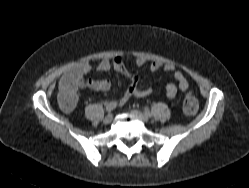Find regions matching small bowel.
Listing matches in <instances>:
<instances>
[{
    "label": "small bowel",
    "mask_w": 249,
    "mask_h": 188,
    "mask_svg": "<svg viewBox=\"0 0 249 188\" xmlns=\"http://www.w3.org/2000/svg\"><path fill=\"white\" fill-rule=\"evenodd\" d=\"M135 64L137 66H142L145 64V59L137 57L135 59ZM90 69L91 66L88 62H80L68 69L62 75L59 81L60 93L71 92L75 98V106L77 104V93L80 90L90 88L95 91L105 92L111 87V82L108 79L93 80L90 78H85V75L90 71ZM97 69L101 72H106L113 69L128 79L129 86L119 100V105L121 106L126 104L132 97L144 98L152 94L151 89H143L138 86V76L131 74L126 70L124 59L122 57H115L112 60H102L98 64ZM149 69L152 72L162 70L173 75L174 79L177 81V85L170 82L165 86L166 95L169 99H174L176 97L178 89L184 92L189 87V83L184 74L177 70L176 67L171 63L153 61L150 63ZM60 103L61 107L65 111H70V109L63 104V102Z\"/></svg>",
    "instance_id": "1"
}]
</instances>
